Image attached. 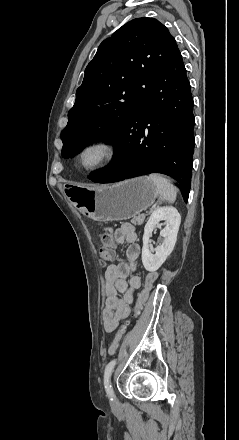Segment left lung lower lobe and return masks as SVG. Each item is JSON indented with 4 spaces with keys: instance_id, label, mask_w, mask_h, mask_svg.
I'll list each match as a JSON object with an SVG mask.
<instances>
[{
    "instance_id": "left-lung-lower-lobe-1",
    "label": "left lung lower lobe",
    "mask_w": 239,
    "mask_h": 440,
    "mask_svg": "<svg viewBox=\"0 0 239 440\" xmlns=\"http://www.w3.org/2000/svg\"><path fill=\"white\" fill-rule=\"evenodd\" d=\"M194 121L190 83L176 45L136 111L113 139L116 150L112 162L89 178L97 183H112L162 173L180 183L187 201Z\"/></svg>"
}]
</instances>
